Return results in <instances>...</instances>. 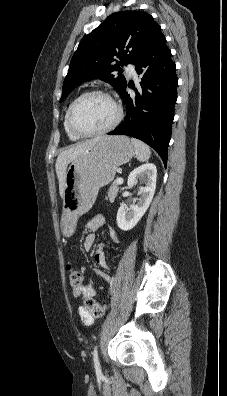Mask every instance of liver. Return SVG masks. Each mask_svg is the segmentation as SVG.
Wrapping results in <instances>:
<instances>
[{"instance_id": "6515ba94", "label": "liver", "mask_w": 227, "mask_h": 396, "mask_svg": "<svg viewBox=\"0 0 227 396\" xmlns=\"http://www.w3.org/2000/svg\"><path fill=\"white\" fill-rule=\"evenodd\" d=\"M100 138H94L91 140H87L83 143L77 144L72 148H69L66 151L61 152L56 160L55 168L59 181V193L63 198V193L65 189V175L67 166L70 162L79 157L83 152L89 149L93 144H95Z\"/></svg>"}]
</instances>
